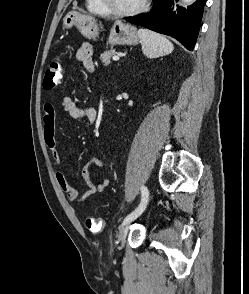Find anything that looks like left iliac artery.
I'll return each instance as SVG.
<instances>
[{"mask_svg": "<svg viewBox=\"0 0 249 294\" xmlns=\"http://www.w3.org/2000/svg\"><path fill=\"white\" fill-rule=\"evenodd\" d=\"M149 199V192L147 187H141V202L139 206L129 215H127L123 221V224L129 223L135 219H137L145 210Z\"/></svg>", "mask_w": 249, "mask_h": 294, "instance_id": "44dca946", "label": "left iliac artery"}]
</instances>
